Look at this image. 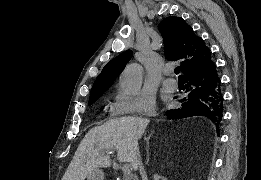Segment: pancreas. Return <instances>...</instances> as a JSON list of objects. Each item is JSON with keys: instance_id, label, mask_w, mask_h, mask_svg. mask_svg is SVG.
Instances as JSON below:
<instances>
[{"instance_id": "pancreas-1", "label": "pancreas", "mask_w": 261, "mask_h": 180, "mask_svg": "<svg viewBox=\"0 0 261 180\" xmlns=\"http://www.w3.org/2000/svg\"><path fill=\"white\" fill-rule=\"evenodd\" d=\"M125 173H119V178H118V180H123V175H124Z\"/></svg>"}]
</instances>
